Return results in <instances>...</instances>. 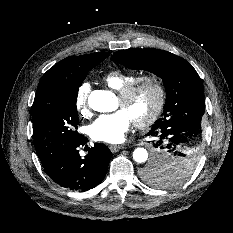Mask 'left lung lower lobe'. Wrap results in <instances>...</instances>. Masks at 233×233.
Returning a JSON list of instances; mask_svg holds the SVG:
<instances>
[{"label":"left lung lower lobe","mask_w":233,"mask_h":233,"mask_svg":"<svg viewBox=\"0 0 233 233\" xmlns=\"http://www.w3.org/2000/svg\"><path fill=\"white\" fill-rule=\"evenodd\" d=\"M149 136L155 137L157 151L152 163L164 164L174 157L202 152L201 121L196 117H181L152 126Z\"/></svg>","instance_id":"obj_1"}]
</instances>
